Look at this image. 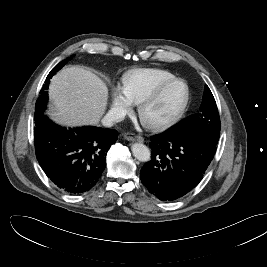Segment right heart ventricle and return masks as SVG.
Masks as SVG:
<instances>
[{"label":"right heart ventricle","instance_id":"obj_1","mask_svg":"<svg viewBox=\"0 0 267 267\" xmlns=\"http://www.w3.org/2000/svg\"><path fill=\"white\" fill-rule=\"evenodd\" d=\"M172 73L161 69H136L123 77V89L132 104H139L163 85L176 80Z\"/></svg>","mask_w":267,"mask_h":267}]
</instances>
